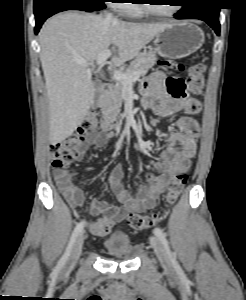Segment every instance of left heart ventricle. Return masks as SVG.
I'll list each match as a JSON object with an SVG mask.
<instances>
[{
	"label": "left heart ventricle",
	"instance_id": "left-heart-ventricle-1",
	"mask_svg": "<svg viewBox=\"0 0 246 300\" xmlns=\"http://www.w3.org/2000/svg\"><path fill=\"white\" fill-rule=\"evenodd\" d=\"M158 2L159 4H151L152 7L159 12L167 13L172 11L175 8V1H167V0H160V1H155ZM165 4V5H163Z\"/></svg>",
	"mask_w": 246,
	"mask_h": 300
}]
</instances>
